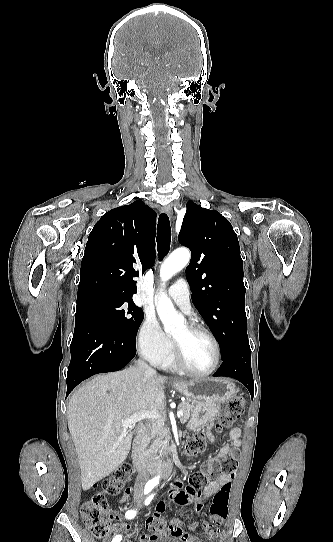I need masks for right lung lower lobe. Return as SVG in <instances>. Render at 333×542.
Segmentation results:
<instances>
[{
  "mask_svg": "<svg viewBox=\"0 0 333 542\" xmlns=\"http://www.w3.org/2000/svg\"><path fill=\"white\" fill-rule=\"evenodd\" d=\"M67 395L90 376L122 369L136 354L130 345L99 315L76 311L75 330L70 346Z\"/></svg>",
  "mask_w": 333,
  "mask_h": 542,
  "instance_id": "obj_1",
  "label": "right lung lower lobe"
}]
</instances>
